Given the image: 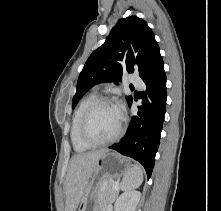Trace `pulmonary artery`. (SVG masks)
Segmentation results:
<instances>
[{
  "mask_svg": "<svg viewBox=\"0 0 221 211\" xmlns=\"http://www.w3.org/2000/svg\"><path fill=\"white\" fill-rule=\"evenodd\" d=\"M129 82L132 83V84L135 85V86H138V87H140V86L142 85V80H141V78H139V77L136 76V75H131V76L129 77Z\"/></svg>",
  "mask_w": 221,
  "mask_h": 211,
  "instance_id": "1",
  "label": "pulmonary artery"
}]
</instances>
